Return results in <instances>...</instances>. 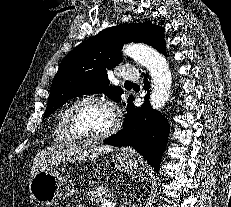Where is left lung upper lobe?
I'll return each instance as SVG.
<instances>
[{
	"mask_svg": "<svg viewBox=\"0 0 231 207\" xmlns=\"http://www.w3.org/2000/svg\"><path fill=\"white\" fill-rule=\"evenodd\" d=\"M163 35L164 29L151 22L130 23L105 29L79 44L59 65L43 118L69 99L84 94L104 92L110 99L120 102L123 90L120 87H108L107 71L122 61L120 51L123 44L145 43L161 52L165 48ZM132 99L129 96L128 104Z\"/></svg>",
	"mask_w": 231,
	"mask_h": 207,
	"instance_id": "5c2ea615",
	"label": "left lung upper lobe"
}]
</instances>
